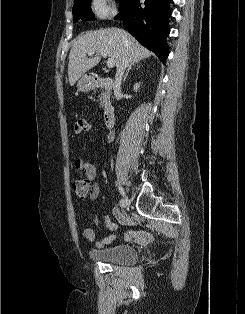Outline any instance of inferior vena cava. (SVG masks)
I'll list each match as a JSON object with an SVG mask.
<instances>
[{
	"instance_id": "obj_1",
	"label": "inferior vena cava",
	"mask_w": 245,
	"mask_h": 314,
	"mask_svg": "<svg viewBox=\"0 0 245 314\" xmlns=\"http://www.w3.org/2000/svg\"><path fill=\"white\" fill-rule=\"evenodd\" d=\"M128 66H129L128 61L125 58L117 66V71L115 75V85H114V94L116 97L119 96L121 93L122 77H123L126 67Z\"/></svg>"
}]
</instances>
